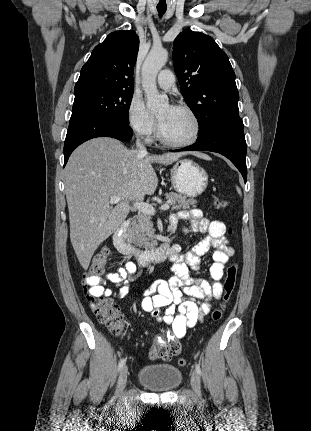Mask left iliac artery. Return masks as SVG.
<instances>
[{
    "label": "left iliac artery",
    "instance_id": "1",
    "mask_svg": "<svg viewBox=\"0 0 311 431\" xmlns=\"http://www.w3.org/2000/svg\"><path fill=\"white\" fill-rule=\"evenodd\" d=\"M195 369H196V372L198 373V375H201V368H200V365L199 364H195Z\"/></svg>",
    "mask_w": 311,
    "mask_h": 431
}]
</instances>
